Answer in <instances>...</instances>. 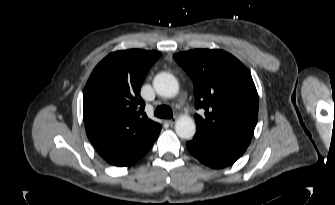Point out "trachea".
I'll use <instances>...</instances> for the list:
<instances>
[{"label": "trachea", "instance_id": "3493384b", "mask_svg": "<svg viewBox=\"0 0 335 205\" xmlns=\"http://www.w3.org/2000/svg\"><path fill=\"white\" fill-rule=\"evenodd\" d=\"M154 115L158 118L169 119L173 117L172 109L167 105H159L154 112Z\"/></svg>", "mask_w": 335, "mask_h": 205}]
</instances>
